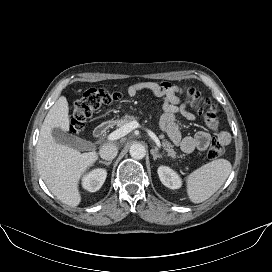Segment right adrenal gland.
<instances>
[{"label":"right adrenal gland","mask_w":272,"mask_h":272,"mask_svg":"<svg viewBox=\"0 0 272 272\" xmlns=\"http://www.w3.org/2000/svg\"><path fill=\"white\" fill-rule=\"evenodd\" d=\"M99 163H101V164H104V165H106V166H109L111 163H112V161H102V160H100L99 161Z\"/></svg>","instance_id":"1"}]
</instances>
